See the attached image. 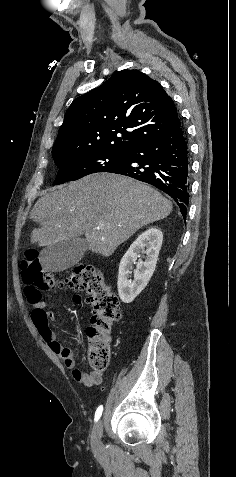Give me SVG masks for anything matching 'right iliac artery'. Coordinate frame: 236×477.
I'll return each mask as SVG.
<instances>
[{"instance_id":"82829eb1","label":"right iliac artery","mask_w":236,"mask_h":477,"mask_svg":"<svg viewBox=\"0 0 236 477\" xmlns=\"http://www.w3.org/2000/svg\"><path fill=\"white\" fill-rule=\"evenodd\" d=\"M102 412H103V406L100 405L95 412V418H94L95 422H97L100 419Z\"/></svg>"}]
</instances>
